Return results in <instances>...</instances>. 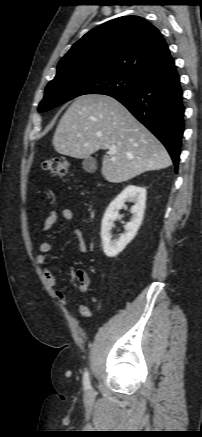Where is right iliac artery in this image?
<instances>
[{"label": "right iliac artery", "instance_id": "1", "mask_svg": "<svg viewBox=\"0 0 202 437\" xmlns=\"http://www.w3.org/2000/svg\"><path fill=\"white\" fill-rule=\"evenodd\" d=\"M83 384H84L85 389H89L91 387L89 373L87 371L83 375Z\"/></svg>", "mask_w": 202, "mask_h": 437}]
</instances>
